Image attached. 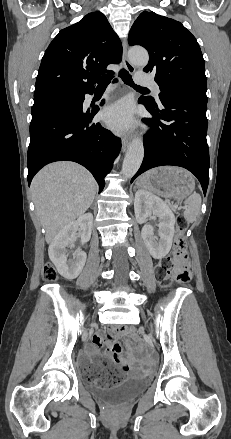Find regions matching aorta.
<instances>
[{
  "label": "aorta",
  "mask_w": 231,
  "mask_h": 439,
  "mask_svg": "<svg viewBox=\"0 0 231 439\" xmlns=\"http://www.w3.org/2000/svg\"><path fill=\"white\" fill-rule=\"evenodd\" d=\"M130 61L140 67H145L149 61L148 52L140 47L131 48L128 52ZM144 157V146L140 138H135L131 142L126 152L123 164L122 174L131 178L139 170Z\"/></svg>",
  "instance_id": "1"
}]
</instances>
